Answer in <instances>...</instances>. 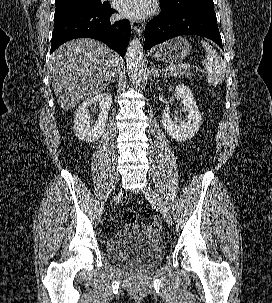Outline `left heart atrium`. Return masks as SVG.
<instances>
[{
	"mask_svg": "<svg viewBox=\"0 0 272 303\" xmlns=\"http://www.w3.org/2000/svg\"><path fill=\"white\" fill-rule=\"evenodd\" d=\"M118 12L128 18H144L153 8L152 0H117Z\"/></svg>",
	"mask_w": 272,
	"mask_h": 303,
	"instance_id": "left-heart-atrium-1",
	"label": "left heart atrium"
}]
</instances>
